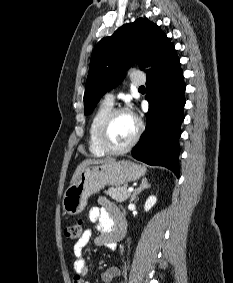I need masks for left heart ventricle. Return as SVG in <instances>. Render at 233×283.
<instances>
[{
    "instance_id": "b2bd125f",
    "label": "left heart ventricle",
    "mask_w": 233,
    "mask_h": 283,
    "mask_svg": "<svg viewBox=\"0 0 233 283\" xmlns=\"http://www.w3.org/2000/svg\"><path fill=\"white\" fill-rule=\"evenodd\" d=\"M135 130V118L130 113H121L110 125L107 135L108 143L114 148H121L132 139Z\"/></svg>"
}]
</instances>
